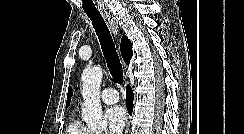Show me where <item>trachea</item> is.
I'll return each instance as SVG.
<instances>
[{"mask_svg": "<svg viewBox=\"0 0 244 134\" xmlns=\"http://www.w3.org/2000/svg\"><path fill=\"white\" fill-rule=\"evenodd\" d=\"M92 21V25L101 44L102 52L107 62L110 74L113 79L119 83H123V70L119 56L116 52L110 31L100 13H86Z\"/></svg>", "mask_w": 244, "mask_h": 134, "instance_id": "1", "label": "trachea"}]
</instances>
